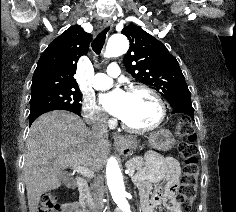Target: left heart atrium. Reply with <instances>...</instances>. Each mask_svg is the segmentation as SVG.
<instances>
[{
	"label": "left heart atrium",
	"instance_id": "obj_1",
	"mask_svg": "<svg viewBox=\"0 0 236 212\" xmlns=\"http://www.w3.org/2000/svg\"><path fill=\"white\" fill-rule=\"evenodd\" d=\"M127 93L116 88L101 96V104L110 114L122 118L125 113Z\"/></svg>",
	"mask_w": 236,
	"mask_h": 212
}]
</instances>
